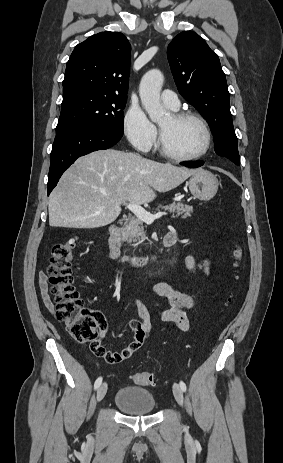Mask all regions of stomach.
I'll return each mask as SVG.
<instances>
[{
	"label": "stomach",
	"mask_w": 283,
	"mask_h": 463,
	"mask_svg": "<svg viewBox=\"0 0 283 463\" xmlns=\"http://www.w3.org/2000/svg\"><path fill=\"white\" fill-rule=\"evenodd\" d=\"M188 186L191 194L195 198L208 201L216 195L219 182L217 177L210 171L198 169V171L190 177Z\"/></svg>",
	"instance_id": "1"
}]
</instances>
